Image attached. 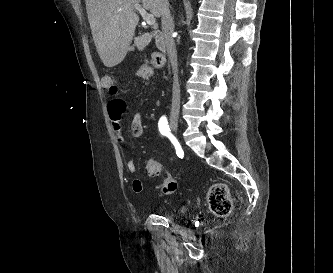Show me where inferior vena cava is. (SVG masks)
<instances>
[{
	"label": "inferior vena cava",
	"mask_w": 333,
	"mask_h": 273,
	"mask_svg": "<svg viewBox=\"0 0 333 273\" xmlns=\"http://www.w3.org/2000/svg\"><path fill=\"white\" fill-rule=\"evenodd\" d=\"M161 24L167 53L173 71V87H172V112L178 113L180 109V85L178 81V62L177 51L172 34L174 31L173 18L169 10L168 0H159Z\"/></svg>",
	"instance_id": "602c4592"
}]
</instances>
